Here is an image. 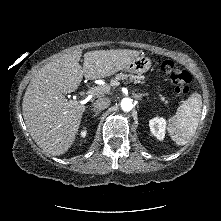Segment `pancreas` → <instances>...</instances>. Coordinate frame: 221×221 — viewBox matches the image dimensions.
I'll return each instance as SVG.
<instances>
[{"instance_id": "obj_1", "label": "pancreas", "mask_w": 221, "mask_h": 221, "mask_svg": "<svg viewBox=\"0 0 221 221\" xmlns=\"http://www.w3.org/2000/svg\"><path fill=\"white\" fill-rule=\"evenodd\" d=\"M127 79L134 81V83L144 84L145 77L142 75L118 74L115 76L114 79L111 80L110 84L112 86H114V85H117V83H119L120 80H127ZM159 96H160L162 102H164L165 104L168 103L164 96H162V95H159Z\"/></svg>"}]
</instances>
